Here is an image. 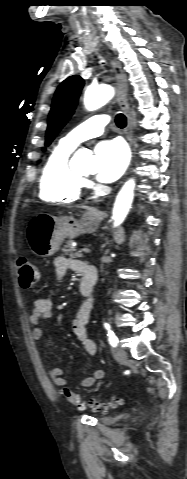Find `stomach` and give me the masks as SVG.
Here are the masks:
<instances>
[{
    "mask_svg": "<svg viewBox=\"0 0 187 479\" xmlns=\"http://www.w3.org/2000/svg\"><path fill=\"white\" fill-rule=\"evenodd\" d=\"M99 222L100 214L93 209L86 210L79 220L41 213L29 222L26 229L27 240L36 255L48 257L59 250L64 238L94 232Z\"/></svg>",
    "mask_w": 187,
    "mask_h": 479,
    "instance_id": "obj_1",
    "label": "stomach"
}]
</instances>
